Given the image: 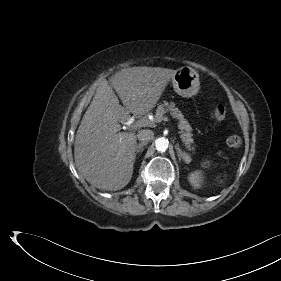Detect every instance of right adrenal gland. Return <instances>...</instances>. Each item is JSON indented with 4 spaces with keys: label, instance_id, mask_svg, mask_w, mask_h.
<instances>
[{
    "label": "right adrenal gland",
    "instance_id": "2a0ac1e0",
    "mask_svg": "<svg viewBox=\"0 0 281 281\" xmlns=\"http://www.w3.org/2000/svg\"><path fill=\"white\" fill-rule=\"evenodd\" d=\"M147 143H139L138 145H136V153H135V157L138 153H142L144 150V146H146Z\"/></svg>",
    "mask_w": 281,
    "mask_h": 281
}]
</instances>
